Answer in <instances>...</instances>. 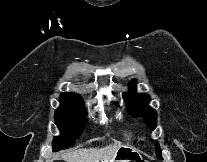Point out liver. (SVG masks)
<instances>
[{"instance_id":"obj_1","label":"liver","mask_w":207,"mask_h":162,"mask_svg":"<svg viewBox=\"0 0 207 162\" xmlns=\"http://www.w3.org/2000/svg\"><path fill=\"white\" fill-rule=\"evenodd\" d=\"M120 147L122 146L108 145L102 148L78 149L64 153L62 158L66 162H107L115 156Z\"/></svg>"}]
</instances>
